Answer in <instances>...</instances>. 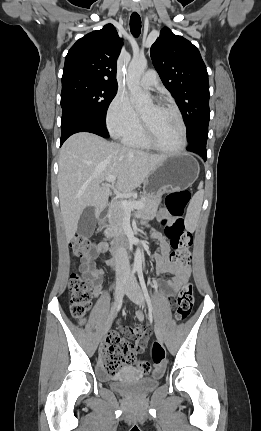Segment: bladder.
Masks as SVG:
<instances>
[{"label":"bladder","instance_id":"1","mask_svg":"<svg viewBox=\"0 0 261 431\" xmlns=\"http://www.w3.org/2000/svg\"><path fill=\"white\" fill-rule=\"evenodd\" d=\"M158 377H140L133 368L127 367L110 378V386L121 394L142 396L152 392L158 386Z\"/></svg>","mask_w":261,"mask_h":431}]
</instances>
